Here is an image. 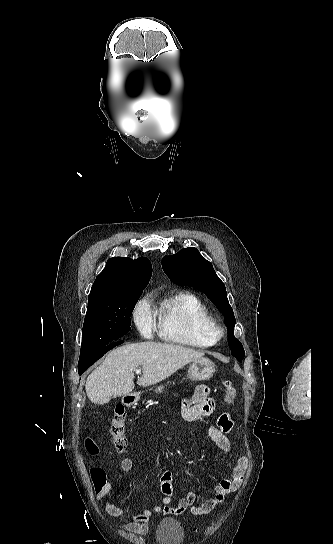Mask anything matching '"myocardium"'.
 <instances>
[{"mask_svg":"<svg viewBox=\"0 0 333 544\" xmlns=\"http://www.w3.org/2000/svg\"><path fill=\"white\" fill-rule=\"evenodd\" d=\"M210 332L215 340H219L224 336L225 329L220 323L213 320L210 326Z\"/></svg>","mask_w":333,"mask_h":544,"instance_id":"obj_1","label":"myocardium"}]
</instances>
